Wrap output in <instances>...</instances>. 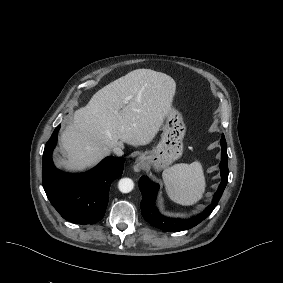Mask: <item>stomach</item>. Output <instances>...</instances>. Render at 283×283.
Listing matches in <instances>:
<instances>
[{
    "label": "stomach",
    "instance_id": "stomach-1",
    "mask_svg": "<svg viewBox=\"0 0 283 283\" xmlns=\"http://www.w3.org/2000/svg\"><path fill=\"white\" fill-rule=\"evenodd\" d=\"M165 117L161 141L152 151L139 156L138 165L151 164L156 170L165 169L182 156V140L186 131L182 116L171 107V111Z\"/></svg>",
    "mask_w": 283,
    "mask_h": 283
}]
</instances>
